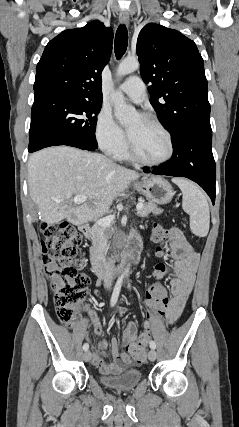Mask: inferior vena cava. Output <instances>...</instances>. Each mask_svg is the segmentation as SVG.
Wrapping results in <instances>:
<instances>
[{
	"label": "inferior vena cava",
	"instance_id": "obj_1",
	"mask_svg": "<svg viewBox=\"0 0 239 427\" xmlns=\"http://www.w3.org/2000/svg\"><path fill=\"white\" fill-rule=\"evenodd\" d=\"M113 270H114V261L112 260V258H109L105 265L104 285L106 288H110L112 285Z\"/></svg>",
	"mask_w": 239,
	"mask_h": 427
}]
</instances>
